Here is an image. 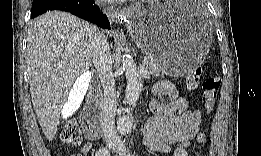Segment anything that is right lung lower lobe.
I'll list each match as a JSON object with an SVG mask.
<instances>
[{
  "label": "right lung lower lobe",
  "mask_w": 261,
  "mask_h": 156,
  "mask_svg": "<svg viewBox=\"0 0 261 156\" xmlns=\"http://www.w3.org/2000/svg\"><path fill=\"white\" fill-rule=\"evenodd\" d=\"M48 10L70 12L99 27L110 29L108 18L99 13V7L93 0H33L31 17H36Z\"/></svg>",
  "instance_id": "obj_1"
}]
</instances>
